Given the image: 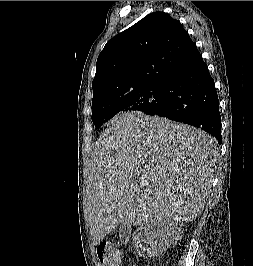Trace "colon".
Here are the masks:
<instances>
[{
  "mask_svg": "<svg viewBox=\"0 0 253 266\" xmlns=\"http://www.w3.org/2000/svg\"><path fill=\"white\" fill-rule=\"evenodd\" d=\"M96 255L101 266H119L122 255L119 249L109 242H101L96 248Z\"/></svg>",
  "mask_w": 253,
  "mask_h": 266,
  "instance_id": "5ec220e1",
  "label": "colon"
}]
</instances>
